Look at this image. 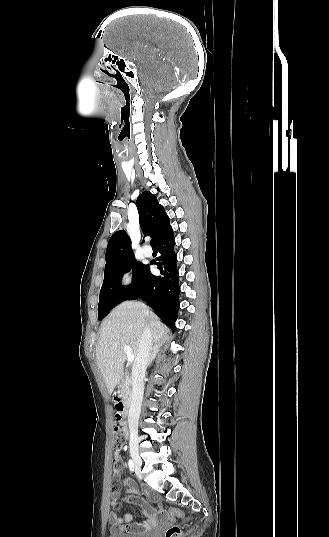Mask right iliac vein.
<instances>
[{"label":"right iliac vein","mask_w":329,"mask_h":537,"mask_svg":"<svg viewBox=\"0 0 329 537\" xmlns=\"http://www.w3.org/2000/svg\"><path fill=\"white\" fill-rule=\"evenodd\" d=\"M130 453H131V456H132L134 464H135V469L139 471L140 468H141V465H142V461H141V459L139 457V454H138L137 442L134 439L131 440V442H130Z\"/></svg>","instance_id":"right-iliac-vein-1"}]
</instances>
